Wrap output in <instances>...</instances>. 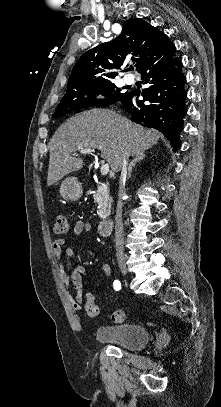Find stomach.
Returning a JSON list of instances; mask_svg holds the SVG:
<instances>
[{"label": "stomach", "instance_id": "stomach-1", "mask_svg": "<svg viewBox=\"0 0 221 407\" xmlns=\"http://www.w3.org/2000/svg\"><path fill=\"white\" fill-rule=\"evenodd\" d=\"M82 186L76 177H67L60 186V194L67 201H76L82 196Z\"/></svg>", "mask_w": 221, "mask_h": 407}]
</instances>
